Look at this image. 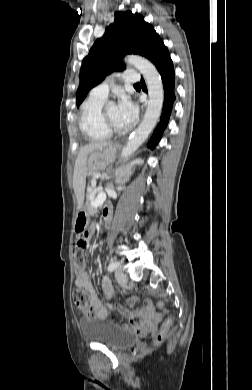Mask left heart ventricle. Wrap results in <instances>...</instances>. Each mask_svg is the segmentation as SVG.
Wrapping results in <instances>:
<instances>
[{
  "mask_svg": "<svg viewBox=\"0 0 252 390\" xmlns=\"http://www.w3.org/2000/svg\"><path fill=\"white\" fill-rule=\"evenodd\" d=\"M106 115L108 120L117 128H123L125 124L121 121L119 114H118V109L115 104H109L106 107Z\"/></svg>",
  "mask_w": 252,
  "mask_h": 390,
  "instance_id": "obj_1",
  "label": "left heart ventricle"
}]
</instances>
